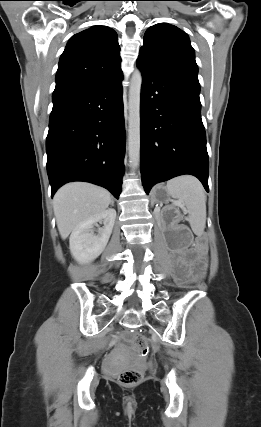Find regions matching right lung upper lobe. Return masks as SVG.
I'll use <instances>...</instances> for the list:
<instances>
[{"label":"right lung upper lobe","mask_w":261,"mask_h":427,"mask_svg":"<svg viewBox=\"0 0 261 427\" xmlns=\"http://www.w3.org/2000/svg\"><path fill=\"white\" fill-rule=\"evenodd\" d=\"M119 50L116 32L106 26L73 35L60 57L53 101L122 74Z\"/></svg>","instance_id":"obj_1"}]
</instances>
